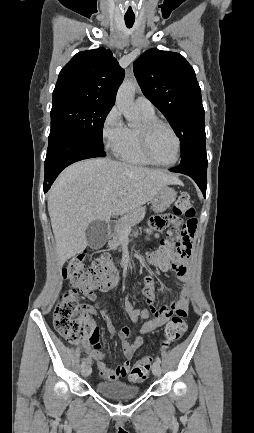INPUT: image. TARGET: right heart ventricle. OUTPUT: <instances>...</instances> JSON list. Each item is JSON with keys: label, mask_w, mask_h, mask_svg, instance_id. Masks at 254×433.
I'll return each mask as SVG.
<instances>
[{"label": "right heart ventricle", "mask_w": 254, "mask_h": 433, "mask_svg": "<svg viewBox=\"0 0 254 433\" xmlns=\"http://www.w3.org/2000/svg\"><path fill=\"white\" fill-rule=\"evenodd\" d=\"M143 120L157 119L155 114L141 112ZM117 157L129 164L148 166L151 163L144 157L139 143L138 128L126 127L124 138L116 152Z\"/></svg>", "instance_id": "1"}]
</instances>
